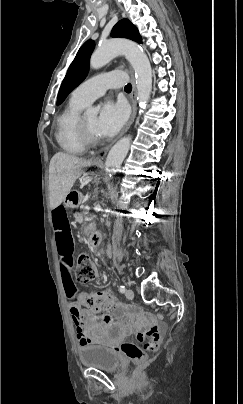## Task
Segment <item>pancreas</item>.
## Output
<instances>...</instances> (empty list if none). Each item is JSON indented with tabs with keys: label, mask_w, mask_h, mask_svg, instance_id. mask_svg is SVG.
<instances>
[{
	"label": "pancreas",
	"mask_w": 243,
	"mask_h": 404,
	"mask_svg": "<svg viewBox=\"0 0 243 404\" xmlns=\"http://www.w3.org/2000/svg\"><path fill=\"white\" fill-rule=\"evenodd\" d=\"M74 219H75L77 224H82L83 223V220L81 219V216H80L79 213L74 214Z\"/></svg>",
	"instance_id": "pancreas-1"
}]
</instances>
